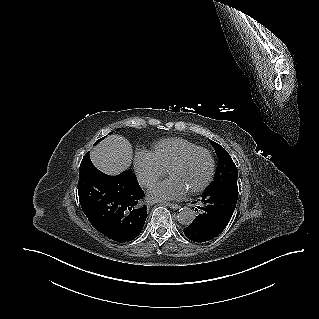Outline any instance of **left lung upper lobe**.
Here are the masks:
<instances>
[{"label": "left lung upper lobe", "instance_id": "obj_1", "mask_svg": "<svg viewBox=\"0 0 319 319\" xmlns=\"http://www.w3.org/2000/svg\"><path fill=\"white\" fill-rule=\"evenodd\" d=\"M218 157V167L214 180L206 191H213L230 185L237 184L238 171L230 155L218 143L210 140Z\"/></svg>", "mask_w": 319, "mask_h": 319}]
</instances>
